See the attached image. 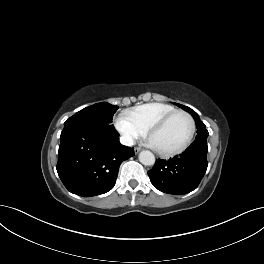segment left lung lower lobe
<instances>
[{
    "instance_id": "left-lung-lower-lobe-1",
    "label": "left lung lower lobe",
    "mask_w": 264,
    "mask_h": 264,
    "mask_svg": "<svg viewBox=\"0 0 264 264\" xmlns=\"http://www.w3.org/2000/svg\"><path fill=\"white\" fill-rule=\"evenodd\" d=\"M207 142L194 141L181 155L169 160L158 159L148 171L158 190L182 195L196 189L207 170Z\"/></svg>"
}]
</instances>
